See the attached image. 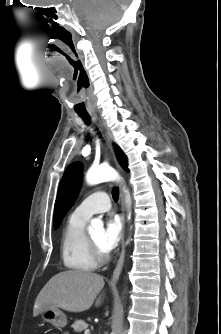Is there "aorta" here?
<instances>
[{
	"mask_svg": "<svg viewBox=\"0 0 221 334\" xmlns=\"http://www.w3.org/2000/svg\"><path fill=\"white\" fill-rule=\"evenodd\" d=\"M118 173L109 166H97L91 167L86 174V181L89 185H96L102 182H108L118 180ZM127 202L130 204L129 194L126 196ZM103 221L99 218L91 220L89 231L92 232L95 229H102Z\"/></svg>",
	"mask_w": 221,
	"mask_h": 334,
	"instance_id": "obj_1",
	"label": "aorta"
}]
</instances>
